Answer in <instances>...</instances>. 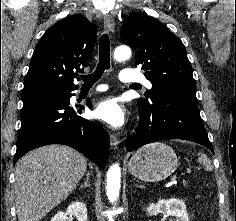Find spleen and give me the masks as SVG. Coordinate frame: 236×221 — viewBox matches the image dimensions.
<instances>
[{
    "mask_svg": "<svg viewBox=\"0 0 236 221\" xmlns=\"http://www.w3.org/2000/svg\"><path fill=\"white\" fill-rule=\"evenodd\" d=\"M198 156H199L198 161L205 166V169L207 171H211L212 165H211V161L209 160V158L201 152L198 153Z\"/></svg>",
    "mask_w": 236,
    "mask_h": 221,
    "instance_id": "3e777b00",
    "label": "spleen"
}]
</instances>
